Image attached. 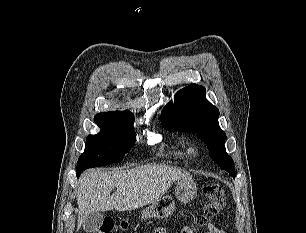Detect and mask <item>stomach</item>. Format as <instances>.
I'll return each mask as SVG.
<instances>
[{
    "label": "stomach",
    "instance_id": "1",
    "mask_svg": "<svg viewBox=\"0 0 306 233\" xmlns=\"http://www.w3.org/2000/svg\"><path fill=\"white\" fill-rule=\"evenodd\" d=\"M175 196L181 203L191 202L197 196L196 184L192 179L177 181L175 187ZM175 208V202L172 197L168 195L162 196L142 211V218H167L173 214Z\"/></svg>",
    "mask_w": 306,
    "mask_h": 233
}]
</instances>
